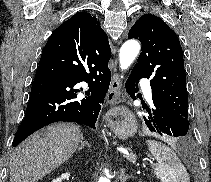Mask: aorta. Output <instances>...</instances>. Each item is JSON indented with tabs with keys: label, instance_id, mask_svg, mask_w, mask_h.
Instances as JSON below:
<instances>
[{
	"label": "aorta",
	"instance_id": "1",
	"mask_svg": "<svg viewBox=\"0 0 211 182\" xmlns=\"http://www.w3.org/2000/svg\"><path fill=\"white\" fill-rule=\"evenodd\" d=\"M140 51V44L136 40L126 41L119 53V63L121 70H126L135 60ZM98 182H110L106 177H100Z\"/></svg>",
	"mask_w": 211,
	"mask_h": 182
}]
</instances>
